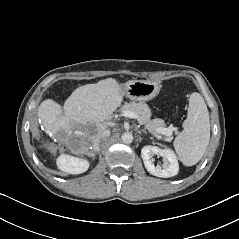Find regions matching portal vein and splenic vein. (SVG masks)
<instances>
[{
	"label": "portal vein and splenic vein",
	"instance_id": "1",
	"mask_svg": "<svg viewBox=\"0 0 239 239\" xmlns=\"http://www.w3.org/2000/svg\"><path fill=\"white\" fill-rule=\"evenodd\" d=\"M122 116L128 117V118H133V119H137L138 115L134 112L131 111H123L122 112ZM172 131L173 129L171 128H159L158 132L161 134H164L166 136H171L172 135ZM158 137V136H157Z\"/></svg>",
	"mask_w": 239,
	"mask_h": 239
}]
</instances>
